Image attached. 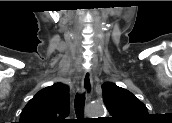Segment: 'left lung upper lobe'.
I'll list each match as a JSON object with an SVG mask.
<instances>
[{"label": "left lung upper lobe", "mask_w": 172, "mask_h": 123, "mask_svg": "<svg viewBox=\"0 0 172 123\" xmlns=\"http://www.w3.org/2000/svg\"><path fill=\"white\" fill-rule=\"evenodd\" d=\"M103 101L115 123H134L148 117L146 106L130 91L111 82L102 85Z\"/></svg>", "instance_id": "5c2ea615"}]
</instances>
